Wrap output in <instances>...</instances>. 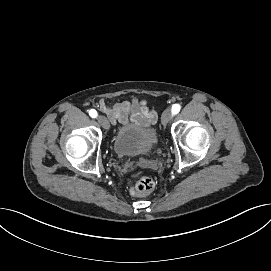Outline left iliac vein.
Instances as JSON below:
<instances>
[{
    "label": "left iliac vein",
    "mask_w": 271,
    "mask_h": 271,
    "mask_svg": "<svg viewBox=\"0 0 271 271\" xmlns=\"http://www.w3.org/2000/svg\"><path fill=\"white\" fill-rule=\"evenodd\" d=\"M172 116V111L171 109H166L163 114H162V117H161V122L163 125H166L169 121V119L171 118Z\"/></svg>",
    "instance_id": "1"
}]
</instances>
